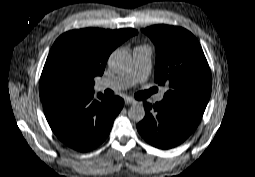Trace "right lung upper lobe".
Listing matches in <instances>:
<instances>
[{
	"label": "right lung upper lobe",
	"mask_w": 255,
	"mask_h": 177,
	"mask_svg": "<svg viewBox=\"0 0 255 177\" xmlns=\"http://www.w3.org/2000/svg\"><path fill=\"white\" fill-rule=\"evenodd\" d=\"M136 34L137 31L131 28L120 30L86 28L66 32L53 44L42 75L55 65L63 63L83 76L84 94L91 92L94 77L103 74L111 52Z\"/></svg>",
	"instance_id": "right-lung-upper-lobe-1"
}]
</instances>
